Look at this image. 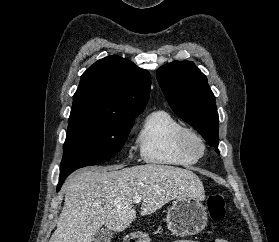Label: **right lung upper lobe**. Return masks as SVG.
Here are the masks:
<instances>
[{"instance_id":"1","label":"right lung upper lobe","mask_w":279,"mask_h":242,"mask_svg":"<svg viewBox=\"0 0 279 242\" xmlns=\"http://www.w3.org/2000/svg\"><path fill=\"white\" fill-rule=\"evenodd\" d=\"M150 85L148 71L122 57L108 56L81 76L70 115L135 119L147 104Z\"/></svg>"}]
</instances>
